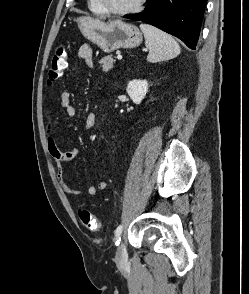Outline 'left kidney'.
Segmentation results:
<instances>
[{
    "instance_id": "left-kidney-1",
    "label": "left kidney",
    "mask_w": 249,
    "mask_h": 294,
    "mask_svg": "<svg viewBox=\"0 0 249 294\" xmlns=\"http://www.w3.org/2000/svg\"><path fill=\"white\" fill-rule=\"evenodd\" d=\"M148 82L146 80L134 79L127 85V93L135 104H140L148 92Z\"/></svg>"
}]
</instances>
